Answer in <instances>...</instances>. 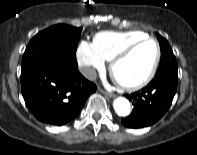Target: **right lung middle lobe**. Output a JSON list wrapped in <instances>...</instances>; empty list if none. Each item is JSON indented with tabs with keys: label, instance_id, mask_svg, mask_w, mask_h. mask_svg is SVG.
<instances>
[{
	"label": "right lung middle lobe",
	"instance_id": "1",
	"mask_svg": "<svg viewBox=\"0 0 197 155\" xmlns=\"http://www.w3.org/2000/svg\"><path fill=\"white\" fill-rule=\"evenodd\" d=\"M82 28L69 25H53L35 35L23 54L21 70L30 67L39 58L55 51L76 56L77 44Z\"/></svg>",
	"mask_w": 197,
	"mask_h": 155
}]
</instances>
